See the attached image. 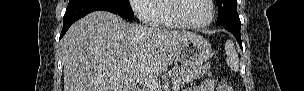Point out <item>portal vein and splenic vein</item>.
<instances>
[{
	"instance_id": "18ae733b",
	"label": "portal vein and splenic vein",
	"mask_w": 304,
	"mask_h": 91,
	"mask_svg": "<svg viewBox=\"0 0 304 91\" xmlns=\"http://www.w3.org/2000/svg\"><path fill=\"white\" fill-rule=\"evenodd\" d=\"M138 81L141 84H144L145 86H148L150 88H158L159 85H160V82L157 79H154V78H145V77H142V78H138ZM173 89H174V91H178L179 90V86L176 85V84H174Z\"/></svg>"
}]
</instances>
